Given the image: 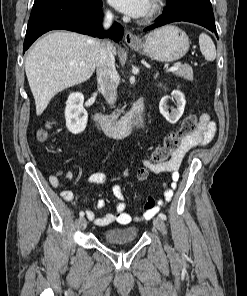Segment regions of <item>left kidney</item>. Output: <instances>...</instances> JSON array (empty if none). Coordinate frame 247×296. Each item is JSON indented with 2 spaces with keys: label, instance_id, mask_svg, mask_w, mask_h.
Segmentation results:
<instances>
[{
  "label": "left kidney",
  "instance_id": "obj_1",
  "mask_svg": "<svg viewBox=\"0 0 247 296\" xmlns=\"http://www.w3.org/2000/svg\"><path fill=\"white\" fill-rule=\"evenodd\" d=\"M170 97L165 96L161 99L159 103V110L163 117L171 124H175L183 115L185 109V96L179 90L174 91L172 93V100L175 99L177 108H170L171 112H169V101Z\"/></svg>",
  "mask_w": 247,
  "mask_h": 296
}]
</instances>
